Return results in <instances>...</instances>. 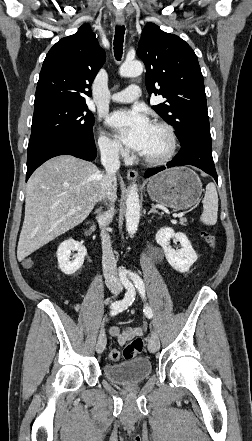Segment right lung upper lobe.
<instances>
[{"label": "right lung upper lobe", "instance_id": "obj_1", "mask_svg": "<svg viewBox=\"0 0 252 441\" xmlns=\"http://www.w3.org/2000/svg\"><path fill=\"white\" fill-rule=\"evenodd\" d=\"M105 58V51L89 24H83L75 34L59 40L43 62L34 106L54 101L85 103Z\"/></svg>", "mask_w": 252, "mask_h": 441}]
</instances>
